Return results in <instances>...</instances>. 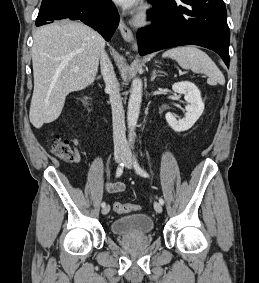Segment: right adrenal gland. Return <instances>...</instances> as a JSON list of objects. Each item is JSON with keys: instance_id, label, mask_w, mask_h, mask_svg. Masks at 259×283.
<instances>
[{"instance_id": "1", "label": "right adrenal gland", "mask_w": 259, "mask_h": 283, "mask_svg": "<svg viewBox=\"0 0 259 283\" xmlns=\"http://www.w3.org/2000/svg\"><path fill=\"white\" fill-rule=\"evenodd\" d=\"M100 78H101V76H98V77H97V79H100Z\"/></svg>"}]
</instances>
